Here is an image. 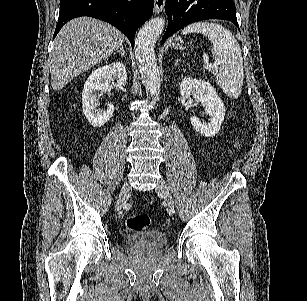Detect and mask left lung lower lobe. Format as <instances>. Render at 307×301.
I'll return each instance as SVG.
<instances>
[{
  "mask_svg": "<svg viewBox=\"0 0 307 301\" xmlns=\"http://www.w3.org/2000/svg\"><path fill=\"white\" fill-rule=\"evenodd\" d=\"M165 11L169 21L162 43L182 27L200 20H228L238 27L233 0H166Z\"/></svg>",
  "mask_w": 307,
  "mask_h": 301,
  "instance_id": "1",
  "label": "left lung lower lobe"
}]
</instances>
